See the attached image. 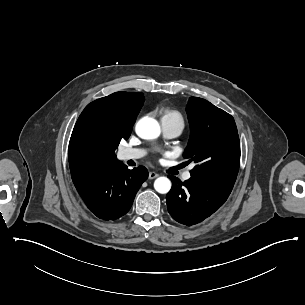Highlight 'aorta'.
I'll use <instances>...</instances> for the list:
<instances>
[{"label": "aorta", "instance_id": "aorta-1", "mask_svg": "<svg viewBox=\"0 0 305 305\" xmlns=\"http://www.w3.org/2000/svg\"><path fill=\"white\" fill-rule=\"evenodd\" d=\"M135 131L140 138L150 140L157 138L161 129L155 119L143 117L137 122ZM154 188L158 193L166 194L171 189V181L167 177H159L154 182Z\"/></svg>", "mask_w": 305, "mask_h": 305}]
</instances>
